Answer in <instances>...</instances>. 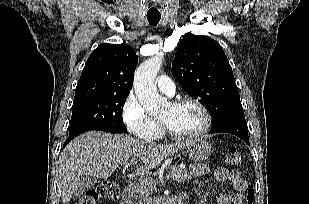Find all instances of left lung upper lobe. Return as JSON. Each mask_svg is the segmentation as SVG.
Here are the masks:
<instances>
[{
    "instance_id": "obj_1",
    "label": "left lung upper lobe",
    "mask_w": 309,
    "mask_h": 204,
    "mask_svg": "<svg viewBox=\"0 0 309 204\" xmlns=\"http://www.w3.org/2000/svg\"><path fill=\"white\" fill-rule=\"evenodd\" d=\"M172 73L184 90L209 110L212 127L244 114L232 68L222 49L207 36L190 34L179 43Z\"/></svg>"
}]
</instances>
